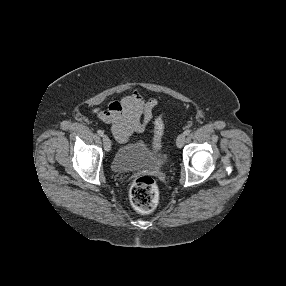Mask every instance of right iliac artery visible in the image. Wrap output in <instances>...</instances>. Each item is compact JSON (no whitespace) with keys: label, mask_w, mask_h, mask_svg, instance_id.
<instances>
[{"label":"right iliac artery","mask_w":286,"mask_h":286,"mask_svg":"<svg viewBox=\"0 0 286 286\" xmlns=\"http://www.w3.org/2000/svg\"><path fill=\"white\" fill-rule=\"evenodd\" d=\"M97 133H98L99 136H103L104 135V132L102 130H98Z\"/></svg>","instance_id":"right-iliac-artery-1"}]
</instances>
